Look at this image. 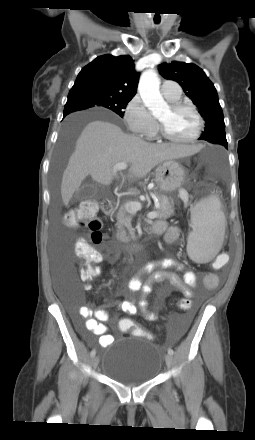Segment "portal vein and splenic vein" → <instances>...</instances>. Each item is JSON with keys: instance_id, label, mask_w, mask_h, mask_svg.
<instances>
[{"instance_id": "obj_1", "label": "portal vein and splenic vein", "mask_w": 255, "mask_h": 440, "mask_svg": "<svg viewBox=\"0 0 255 440\" xmlns=\"http://www.w3.org/2000/svg\"><path fill=\"white\" fill-rule=\"evenodd\" d=\"M127 167L128 165L125 162L117 163L113 167V172L116 173L117 171L125 170L127 169ZM125 207L129 213H136L137 211L141 210L142 205L140 202H129L125 205ZM147 216L150 219H154L158 216V212L157 211L149 212Z\"/></svg>"}]
</instances>
